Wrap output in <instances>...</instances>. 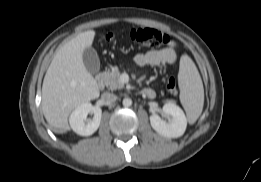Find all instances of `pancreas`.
I'll return each mask as SVG.
<instances>
[{"instance_id": "pancreas-1", "label": "pancreas", "mask_w": 261, "mask_h": 182, "mask_svg": "<svg viewBox=\"0 0 261 182\" xmlns=\"http://www.w3.org/2000/svg\"><path fill=\"white\" fill-rule=\"evenodd\" d=\"M120 72L118 67H113L111 71H105L102 73L104 83L110 90L124 88V83L120 81Z\"/></svg>"}]
</instances>
